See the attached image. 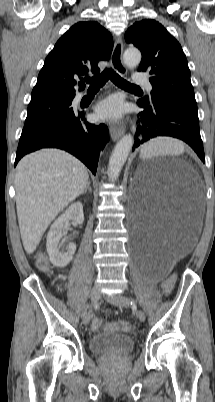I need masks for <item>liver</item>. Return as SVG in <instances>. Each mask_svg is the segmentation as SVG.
Returning <instances> with one entry per match:
<instances>
[{"instance_id": "liver-1", "label": "liver", "mask_w": 215, "mask_h": 402, "mask_svg": "<svg viewBox=\"0 0 215 402\" xmlns=\"http://www.w3.org/2000/svg\"><path fill=\"white\" fill-rule=\"evenodd\" d=\"M88 179L83 163L59 149H42L19 161L16 208L26 253L36 250L50 223L82 194Z\"/></svg>"}]
</instances>
